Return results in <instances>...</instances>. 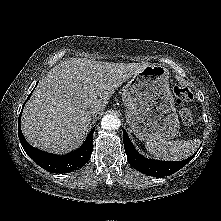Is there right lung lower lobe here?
Here are the masks:
<instances>
[{"label": "right lung lower lobe", "instance_id": "98d812e1", "mask_svg": "<svg viewBox=\"0 0 221 221\" xmlns=\"http://www.w3.org/2000/svg\"><path fill=\"white\" fill-rule=\"evenodd\" d=\"M20 119L21 114L18 119V136L21 145L27 155L43 169L53 173H64L79 169L89 161L92 154V140L95 127L90 131L87 139L79 149L67 155L59 156L46 153L29 145L21 132Z\"/></svg>", "mask_w": 221, "mask_h": 221}]
</instances>
